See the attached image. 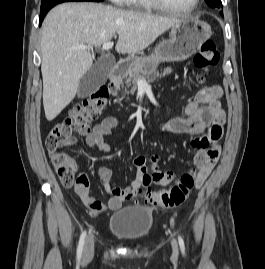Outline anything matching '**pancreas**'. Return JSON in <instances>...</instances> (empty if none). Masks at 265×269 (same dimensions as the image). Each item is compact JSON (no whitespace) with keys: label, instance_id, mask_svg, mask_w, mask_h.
<instances>
[{"label":"pancreas","instance_id":"cf45deb5","mask_svg":"<svg viewBox=\"0 0 265 269\" xmlns=\"http://www.w3.org/2000/svg\"><path fill=\"white\" fill-rule=\"evenodd\" d=\"M171 73V68H166L164 69L163 73L159 74V72H154L152 74V76L149 75H145V74H141L140 72L136 71V70H129L128 71V76L125 78V76L123 77V79H119L116 80L113 84L115 86V89H119L120 87H123V83H125L127 88H131L132 91H134L136 89V84L137 81L142 79V80H147V81H152L155 80L157 77H161V76H165Z\"/></svg>","mask_w":265,"mask_h":269}]
</instances>
